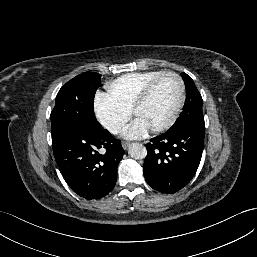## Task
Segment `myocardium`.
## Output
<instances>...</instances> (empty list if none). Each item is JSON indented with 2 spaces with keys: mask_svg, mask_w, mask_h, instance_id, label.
I'll return each instance as SVG.
<instances>
[{
  "mask_svg": "<svg viewBox=\"0 0 257 257\" xmlns=\"http://www.w3.org/2000/svg\"><path fill=\"white\" fill-rule=\"evenodd\" d=\"M164 76H172L177 80L178 85H179V96H178V100H177V103L175 105V108H174L171 116L167 119V121L164 122L163 124H161L160 126H157L153 129H151V131L154 132V133L163 132V131L169 129L176 122L177 118L179 117V114L181 112V109H182L183 103H184V99H185V84H184V81H183L182 77L174 71H163V72H161L160 74H158L155 78H153L143 88V90L139 94L138 98L136 99V101H135V103L132 107V114L134 116H136L139 109L149 99V97H150L154 87L156 86V84Z\"/></svg>",
  "mask_w": 257,
  "mask_h": 257,
  "instance_id": "obj_1",
  "label": "myocardium"
}]
</instances>
